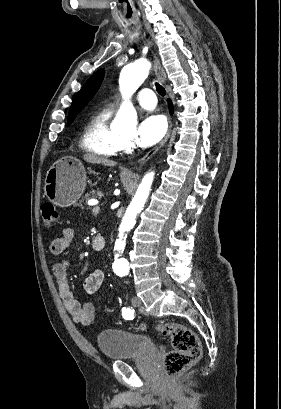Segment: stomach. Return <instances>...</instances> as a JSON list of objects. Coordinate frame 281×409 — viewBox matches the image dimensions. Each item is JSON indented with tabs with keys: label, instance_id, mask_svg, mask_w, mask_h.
Masks as SVG:
<instances>
[{
	"label": "stomach",
	"instance_id": "obj_1",
	"mask_svg": "<svg viewBox=\"0 0 281 409\" xmlns=\"http://www.w3.org/2000/svg\"><path fill=\"white\" fill-rule=\"evenodd\" d=\"M86 182L81 160L76 156H61L46 172L44 192L56 207H70L80 198Z\"/></svg>",
	"mask_w": 281,
	"mask_h": 409
}]
</instances>
